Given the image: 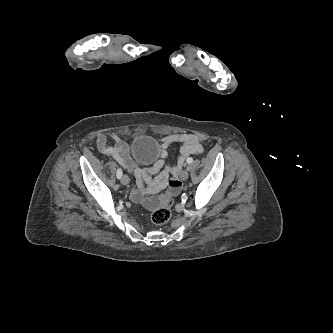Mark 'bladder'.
Listing matches in <instances>:
<instances>
[{"label": "bladder", "mask_w": 333, "mask_h": 333, "mask_svg": "<svg viewBox=\"0 0 333 333\" xmlns=\"http://www.w3.org/2000/svg\"><path fill=\"white\" fill-rule=\"evenodd\" d=\"M133 157L140 163H151L158 159L161 152L159 141L150 135H139L131 146Z\"/></svg>", "instance_id": "bladder-1"}]
</instances>
